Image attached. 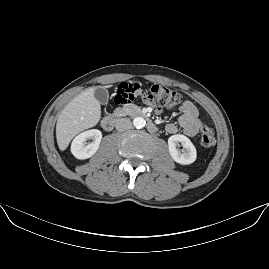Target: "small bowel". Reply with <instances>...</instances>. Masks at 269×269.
<instances>
[{"label": "small bowel", "instance_id": "small-bowel-1", "mask_svg": "<svg viewBox=\"0 0 269 269\" xmlns=\"http://www.w3.org/2000/svg\"><path fill=\"white\" fill-rule=\"evenodd\" d=\"M181 116L179 117L178 124L187 136H194L200 130L202 124L198 118V110L196 106L190 102L185 101L180 106ZM177 125L169 123L166 126V131L170 134L177 132Z\"/></svg>", "mask_w": 269, "mask_h": 269}]
</instances>
